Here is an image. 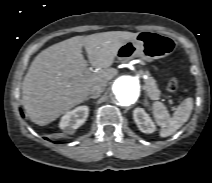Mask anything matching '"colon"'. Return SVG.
I'll return each instance as SVG.
<instances>
[{
    "mask_svg": "<svg viewBox=\"0 0 212 183\" xmlns=\"http://www.w3.org/2000/svg\"><path fill=\"white\" fill-rule=\"evenodd\" d=\"M178 85H179L178 80H177L176 78H172V79H170V81L168 82L167 89H168L170 92L176 91L177 88H178Z\"/></svg>",
    "mask_w": 212,
    "mask_h": 183,
    "instance_id": "colon-1",
    "label": "colon"
}]
</instances>
